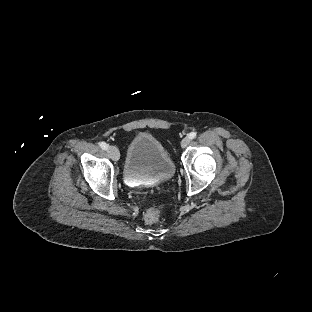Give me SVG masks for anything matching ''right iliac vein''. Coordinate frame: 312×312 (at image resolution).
Returning <instances> with one entry per match:
<instances>
[{
	"mask_svg": "<svg viewBox=\"0 0 312 312\" xmlns=\"http://www.w3.org/2000/svg\"><path fill=\"white\" fill-rule=\"evenodd\" d=\"M107 152L112 160L117 161L119 159V150L115 146H109Z\"/></svg>",
	"mask_w": 312,
	"mask_h": 312,
	"instance_id": "63e3f726",
	"label": "right iliac vein"
}]
</instances>
